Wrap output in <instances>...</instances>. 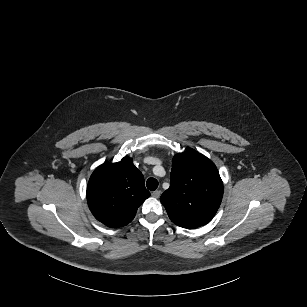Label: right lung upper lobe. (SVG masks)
Here are the masks:
<instances>
[{"instance_id": "cb5924a9", "label": "right lung upper lobe", "mask_w": 307, "mask_h": 307, "mask_svg": "<svg viewBox=\"0 0 307 307\" xmlns=\"http://www.w3.org/2000/svg\"><path fill=\"white\" fill-rule=\"evenodd\" d=\"M149 196L144 177L130 157L99 166L87 186V201L92 214L113 228L130 223L138 207Z\"/></svg>"}]
</instances>
